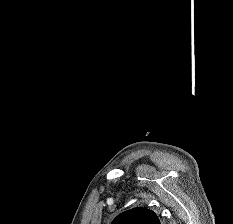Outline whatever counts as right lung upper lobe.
<instances>
[{"mask_svg": "<svg viewBox=\"0 0 233 224\" xmlns=\"http://www.w3.org/2000/svg\"><path fill=\"white\" fill-rule=\"evenodd\" d=\"M112 224H161L157 215L148 209L137 207L118 215Z\"/></svg>", "mask_w": 233, "mask_h": 224, "instance_id": "1", "label": "right lung upper lobe"}]
</instances>
